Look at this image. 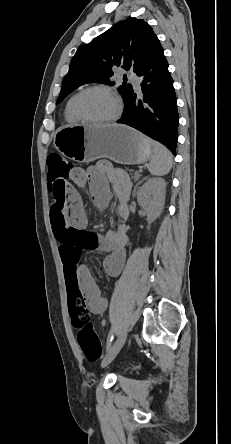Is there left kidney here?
<instances>
[{"instance_id": "5707ae66", "label": "left kidney", "mask_w": 231, "mask_h": 444, "mask_svg": "<svg viewBox=\"0 0 231 444\" xmlns=\"http://www.w3.org/2000/svg\"><path fill=\"white\" fill-rule=\"evenodd\" d=\"M166 182L162 178H150L139 189L137 201L147 214L150 225L163 211L165 204Z\"/></svg>"}]
</instances>
